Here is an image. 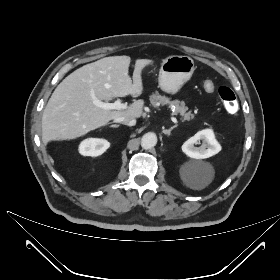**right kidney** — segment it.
<instances>
[{"mask_svg":"<svg viewBox=\"0 0 280 280\" xmlns=\"http://www.w3.org/2000/svg\"><path fill=\"white\" fill-rule=\"evenodd\" d=\"M110 147V143L105 139L88 138L79 145V153L83 156L96 157L103 154Z\"/></svg>","mask_w":280,"mask_h":280,"instance_id":"right-kidney-1","label":"right kidney"}]
</instances>
